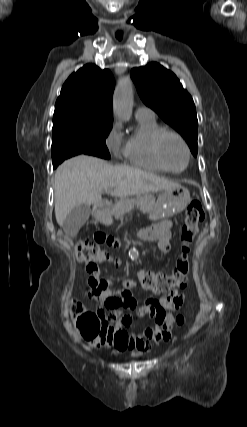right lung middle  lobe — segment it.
<instances>
[{
  "label": "right lung middle lobe",
  "mask_w": 247,
  "mask_h": 427,
  "mask_svg": "<svg viewBox=\"0 0 247 427\" xmlns=\"http://www.w3.org/2000/svg\"><path fill=\"white\" fill-rule=\"evenodd\" d=\"M113 120L99 121L75 112H61L53 116L52 160L78 154L109 159L105 139Z\"/></svg>",
  "instance_id": "right-lung-middle-lobe-1"
}]
</instances>
